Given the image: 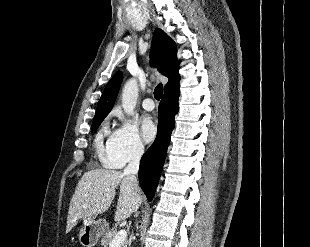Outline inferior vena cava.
<instances>
[{"label":"inferior vena cava","instance_id":"obj_1","mask_svg":"<svg viewBox=\"0 0 310 247\" xmlns=\"http://www.w3.org/2000/svg\"><path fill=\"white\" fill-rule=\"evenodd\" d=\"M143 153H144L143 145L137 144L130 155L129 164L124 169V174L130 176L135 184H138L136 175L138 174L139 163Z\"/></svg>","mask_w":310,"mask_h":247}]
</instances>
